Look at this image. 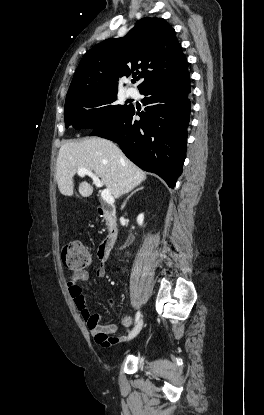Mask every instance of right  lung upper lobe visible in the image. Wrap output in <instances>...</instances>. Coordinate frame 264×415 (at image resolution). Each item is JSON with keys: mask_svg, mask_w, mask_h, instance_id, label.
I'll return each mask as SVG.
<instances>
[{"mask_svg": "<svg viewBox=\"0 0 264 415\" xmlns=\"http://www.w3.org/2000/svg\"><path fill=\"white\" fill-rule=\"evenodd\" d=\"M141 69V71H138ZM139 74V91L188 71L175 30L162 18H142L123 38L107 39L86 52L73 76L66 99L116 92L119 76Z\"/></svg>", "mask_w": 264, "mask_h": 415, "instance_id": "cb5924a9", "label": "right lung upper lobe"}]
</instances>
